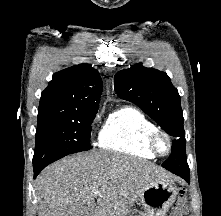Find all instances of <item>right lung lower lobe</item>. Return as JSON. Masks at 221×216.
<instances>
[{"label":"right lung lower lobe","instance_id":"98d812e1","mask_svg":"<svg viewBox=\"0 0 221 216\" xmlns=\"http://www.w3.org/2000/svg\"><path fill=\"white\" fill-rule=\"evenodd\" d=\"M45 166H46V165L33 166V168H34V178L40 173V171H41Z\"/></svg>","mask_w":221,"mask_h":216}]
</instances>
